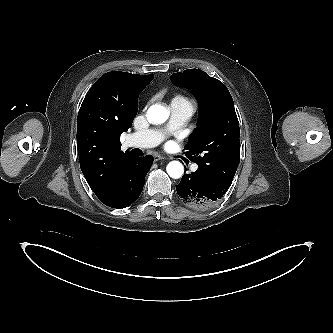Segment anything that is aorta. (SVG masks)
Returning a JSON list of instances; mask_svg holds the SVG:
<instances>
[{"label":"aorta","mask_w":333,"mask_h":333,"mask_svg":"<svg viewBox=\"0 0 333 333\" xmlns=\"http://www.w3.org/2000/svg\"><path fill=\"white\" fill-rule=\"evenodd\" d=\"M169 117L168 110L162 105H152L147 111V118L155 124L164 123ZM167 173L171 178L178 179L184 173V167L179 161H172L166 167Z\"/></svg>","instance_id":"762f6f07"}]
</instances>
